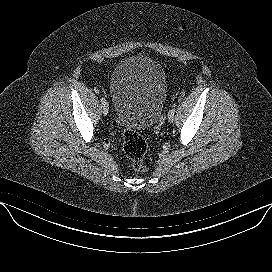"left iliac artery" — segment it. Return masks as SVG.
Instances as JSON below:
<instances>
[{"label":"left iliac artery","instance_id":"obj_1","mask_svg":"<svg viewBox=\"0 0 272 272\" xmlns=\"http://www.w3.org/2000/svg\"><path fill=\"white\" fill-rule=\"evenodd\" d=\"M169 113L173 114L175 113V105L173 106V108L169 111Z\"/></svg>","mask_w":272,"mask_h":272}]
</instances>
